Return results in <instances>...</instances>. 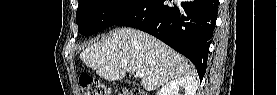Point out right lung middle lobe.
I'll return each instance as SVG.
<instances>
[{
  "label": "right lung middle lobe",
  "instance_id": "dd1d6c3e",
  "mask_svg": "<svg viewBox=\"0 0 277 95\" xmlns=\"http://www.w3.org/2000/svg\"><path fill=\"white\" fill-rule=\"evenodd\" d=\"M141 2L142 0H80L76 13L79 33L89 36L115 25Z\"/></svg>",
  "mask_w": 277,
  "mask_h": 95
}]
</instances>
